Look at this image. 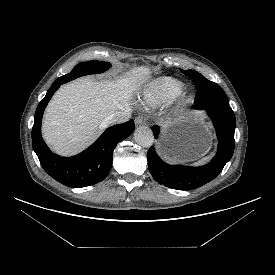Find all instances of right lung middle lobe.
<instances>
[{
    "mask_svg": "<svg viewBox=\"0 0 275 275\" xmlns=\"http://www.w3.org/2000/svg\"><path fill=\"white\" fill-rule=\"evenodd\" d=\"M109 67L110 63L103 61L93 60L90 62H82L76 65L70 73L63 75L58 79L63 80L66 83L83 75L104 72Z\"/></svg>",
    "mask_w": 275,
    "mask_h": 275,
    "instance_id": "1",
    "label": "right lung middle lobe"
}]
</instances>
